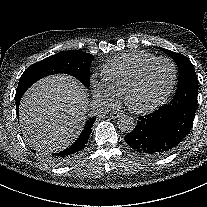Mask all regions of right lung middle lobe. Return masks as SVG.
I'll return each mask as SVG.
<instances>
[{"mask_svg": "<svg viewBox=\"0 0 207 207\" xmlns=\"http://www.w3.org/2000/svg\"><path fill=\"white\" fill-rule=\"evenodd\" d=\"M94 56L83 51H66L47 57L28 67L21 75L15 98H20L36 81L55 73L69 74L85 87L90 86V67Z\"/></svg>", "mask_w": 207, "mask_h": 207, "instance_id": "1", "label": "right lung middle lobe"}]
</instances>
